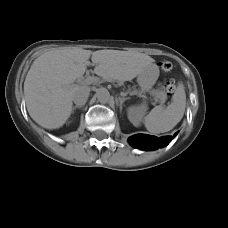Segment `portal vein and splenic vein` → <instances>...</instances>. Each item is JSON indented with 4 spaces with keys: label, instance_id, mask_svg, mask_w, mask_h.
Here are the masks:
<instances>
[{
    "label": "portal vein and splenic vein",
    "instance_id": "18ae733b",
    "mask_svg": "<svg viewBox=\"0 0 228 228\" xmlns=\"http://www.w3.org/2000/svg\"><path fill=\"white\" fill-rule=\"evenodd\" d=\"M92 81H94V78L93 77H89V78H86L85 80L80 81V82L83 83V84H90Z\"/></svg>",
    "mask_w": 228,
    "mask_h": 228
}]
</instances>
